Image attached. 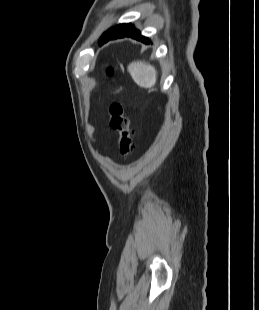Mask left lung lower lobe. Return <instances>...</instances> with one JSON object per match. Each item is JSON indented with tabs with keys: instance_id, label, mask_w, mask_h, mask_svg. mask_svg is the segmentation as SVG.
I'll list each match as a JSON object with an SVG mask.
<instances>
[{
	"instance_id": "1",
	"label": "left lung lower lobe",
	"mask_w": 259,
	"mask_h": 310,
	"mask_svg": "<svg viewBox=\"0 0 259 310\" xmlns=\"http://www.w3.org/2000/svg\"><path fill=\"white\" fill-rule=\"evenodd\" d=\"M123 37H131L136 40H140L143 43H150L149 38L141 35L140 31H138L133 25L130 23H123L116 26V28L106 37L100 40V44H104L111 39L123 38Z\"/></svg>"
}]
</instances>
